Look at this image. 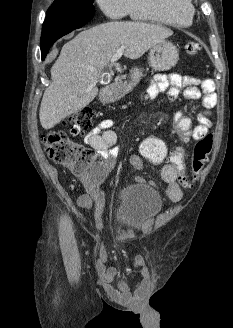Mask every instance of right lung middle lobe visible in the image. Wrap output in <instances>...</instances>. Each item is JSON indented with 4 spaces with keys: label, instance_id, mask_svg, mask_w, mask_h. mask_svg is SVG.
<instances>
[{
    "label": "right lung middle lobe",
    "instance_id": "dd1d6c3e",
    "mask_svg": "<svg viewBox=\"0 0 233 328\" xmlns=\"http://www.w3.org/2000/svg\"><path fill=\"white\" fill-rule=\"evenodd\" d=\"M94 0H55L47 11L50 14L81 15L94 14Z\"/></svg>",
    "mask_w": 233,
    "mask_h": 328
}]
</instances>
